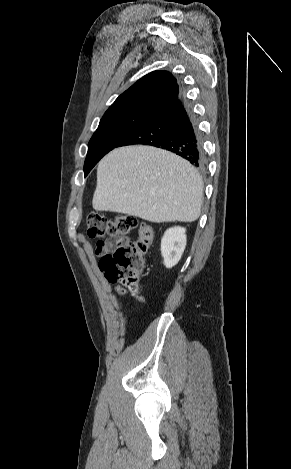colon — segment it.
I'll use <instances>...</instances> for the list:
<instances>
[{
  "label": "colon",
  "mask_w": 291,
  "mask_h": 469,
  "mask_svg": "<svg viewBox=\"0 0 291 469\" xmlns=\"http://www.w3.org/2000/svg\"><path fill=\"white\" fill-rule=\"evenodd\" d=\"M138 227V238L131 241L126 236ZM87 232L91 237H107L97 243L96 252L101 256L100 270L107 280L136 291L140 276L144 270V256L154 237L153 227L141 223L134 216L120 214L107 218L92 213L87 218ZM123 293L124 289L119 288Z\"/></svg>",
  "instance_id": "1"
}]
</instances>
